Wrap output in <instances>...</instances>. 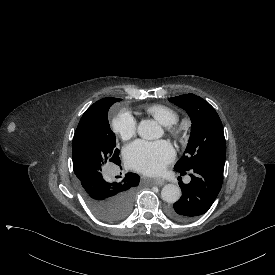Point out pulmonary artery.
I'll return each instance as SVG.
<instances>
[{
    "label": "pulmonary artery",
    "instance_id": "1",
    "mask_svg": "<svg viewBox=\"0 0 275 275\" xmlns=\"http://www.w3.org/2000/svg\"><path fill=\"white\" fill-rule=\"evenodd\" d=\"M189 181H190V178L187 177V178L185 179V182H189Z\"/></svg>",
    "mask_w": 275,
    "mask_h": 275
}]
</instances>
